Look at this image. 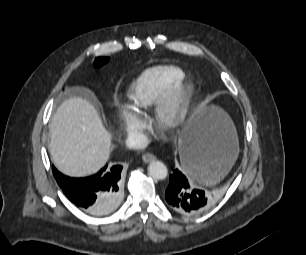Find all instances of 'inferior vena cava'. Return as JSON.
<instances>
[{
    "label": "inferior vena cava",
    "mask_w": 306,
    "mask_h": 255,
    "mask_svg": "<svg viewBox=\"0 0 306 255\" xmlns=\"http://www.w3.org/2000/svg\"><path fill=\"white\" fill-rule=\"evenodd\" d=\"M126 144L129 148L132 149H142L148 145V139L141 132H133L128 135Z\"/></svg>",
    "instance_id": "602c4592"
}]
</instances>
